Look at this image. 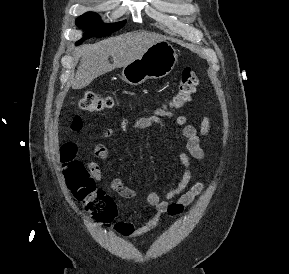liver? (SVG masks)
<instances>
[{
    "label": "liver",
    "instance_id": "6515ba94",
    "mask_svg": "<svg viewBox=\"0 0 289 274\" xmlns=\"http://www.w3.org/2000/svg\"><path fill=\"white\" fill-rule=\"evenodd\" d=\"M163 40L154 33H126L93 45H85L79 50L81 56L71 85L74 89L87 87L97 77L124 67L139 58L150 46ZM113 58V64L109 62Z\"/></svg>",
    "mask_w": 289,
    "mask_h": 274
}]
</instances>
